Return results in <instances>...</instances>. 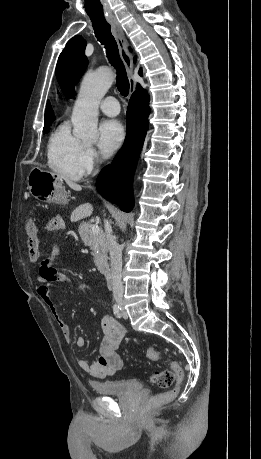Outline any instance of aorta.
Here are the masks:
<instances>
[{
  "label": "aorta",
  "instance_id": "obj_1",
  "mask_svg": "<svg viewBox=\"0 0 261 459\" xmlns=\"http://www.w3.org/2000/svg\"><path fill=\"white\" fill-rule=\"evenodd\" d=\"M114 78V73L108 68L98 69L84 77L71 118L75 137L89 142L97 139L99 104Z\"/></svg>",
  "mask_w": 261,
  "mask_h": 459
}]
</instances>
